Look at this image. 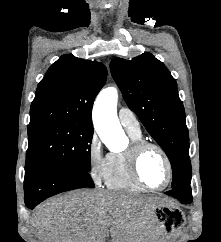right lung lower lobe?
Wrapping results in <instances>:
<instances>
[{"instance_id": "obj_1", "label": "right lung lower lobe", "mask_w": 221, "mask_h": 242, "mask_svg": "<svg viewBox=\"0 0 221 242\" xmlns=\"http://www.w3.org/2000/svg\"><path fill=\"white\" fill-rule=\"evenodd\" d=\"M94 188L89 172L51 162L25 166V204L33 209L48 197L76 188Z\"/></svg>"}]
</instances>
